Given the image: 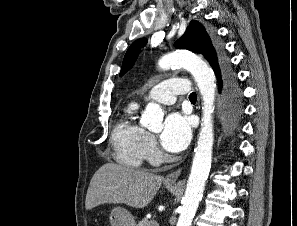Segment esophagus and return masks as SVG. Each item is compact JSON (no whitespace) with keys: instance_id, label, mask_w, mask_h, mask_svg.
<instances>
[{"instance_id":"esophagus-1","label":"esophagus","mask_w":297,"mask_h":226,"mask_svg":"<svg viewBox=\"0 0 297 226\" xmlns=\"http://www.w3.org/2000/svg\"><path fill=\"white\" fill-rule=\"evenodd\" d=\"M181 168L175 170L174 172L170 173L166 177V181L168 182H176L181 174Z\"/></svg>"}]
</instances>
